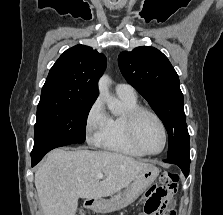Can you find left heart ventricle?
Segmentation results:
<instances>
[{
	"label": "left heart ventricle",
	"mask_w": 223,
	"mask_h": 215,
	"mask_svg": "<svg viewBox=\"0 0 223 215\" xmlns=\"http://www.w3.org/2000/svg\"><path fill=\"white\" fill-rule=\"evenodd\" d=\"M136 139L140 150L144 152H154L161 147V130L152 117L144 115L140 118L136 129Z\"/></svg>",
	"instance_id": "1"
}]
</instances>
